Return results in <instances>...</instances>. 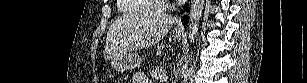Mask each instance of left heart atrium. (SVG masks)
I'll list each match as a JSON object with an SVG mask.
<instances>
[{
    "instance_id": "obj_1",
    "label": "left heart atrium",
    "mask_w": 307,
    "mask_h": 83,
    "mask_svg": "<svg viewBox=\"0 0 307 83\" xmlns=\"http://www.w3.org/2000/svg\"><path fill=\"white\" fill-rule=\"evenodd\" d=\"M180 2H183V1H185V0H179Z\"/></svg>"
}]
</instances>
